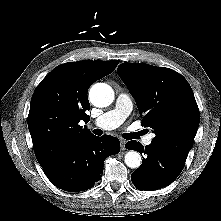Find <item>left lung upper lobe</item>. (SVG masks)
<instances>
[{
    "instance_id": "obj_1",
    "label": "left lung upper lobe",
    "mask_w": 221,
    "mask_h": 221,
    "mask_svg": "<svg viewBox=\"0 0 221 221\" xmlns=\"http://www.w3.org/2000/svg\"><path fill=\"white\" fill-rule=\"evenodd\" d=\"M117 73L135 98L141 125L156 134L152 142L186 159L200 121L186 79L172 69L148 64L122 63Z\"/></svg>"
}]
</instances>
